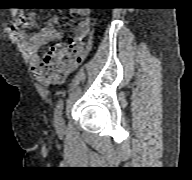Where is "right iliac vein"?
I'll return each mask as SVG.
<instances>
[{
    "label": "right iliac vein",
    "mask_w": 192,
    "mask_h": 180,
    "mask_svg": "<svg viewBox=\"0 0 192 180\" xmlns=\"http://www.w3.org/2000/svg\"><path fill=\"white\" fill-rule=\"evenodd\" d=\"M56 129L58 132H62L64 130V121L62 117H59L56 122Z\"/></svg>",
    "instance_id": "63e3f726"
}]
</instances>
